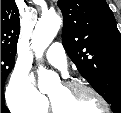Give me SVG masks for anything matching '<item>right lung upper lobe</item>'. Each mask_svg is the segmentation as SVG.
<instances>
[{
	"label": "right lung upper lobe",
	"mask_w": 121,
	"mask_h": 113,
	"mask_svg": "<svg viewBox=\"0 0 121 113\" xmlns=\"http://www.w3.org/2000/svg\"><path fill=\"white\" fill-rule=\"evenodd\" d=\"M19 32V10L15 0H1V53L15 55Z\"/></svg>",
	"instance_id": "1"
}]
</instances>
